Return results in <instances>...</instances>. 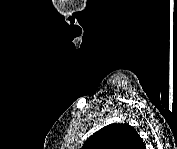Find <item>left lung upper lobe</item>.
<instances>
[{
    "mask_svg": "<svg viewBox=\"0 0 177 149\" xmlns=\"http://www.w3.org/2000/svg\"><path fill=\"white\" fill-rule=\"evenodd\" d=\"M145 144L129 124H110L103 127L84 143L82 149H144Z\"/></svg>",
    "mask_w": 177,
    "mask_h": 149,
    "instance_id": "1",
    "label": "left lung upper lobe"
}]
</instances>
